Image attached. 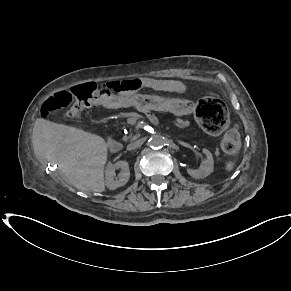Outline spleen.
Masks as SVG:
<instances>
[{"label":"spleen","mask_w":291,"mask_h":291,"mask_svg":"<svg viewBox=\"0 0 291 291\" xmlns=\"http://www.w3.org/2000/svg\"><path fill=\"white\" fill-rule=\"evenodd\" d=\"M234 166H235V162H234V161H228V162L226 163V165H225V170H226L227 172H230V171L233 170Z\"/></svg>","instance_id":"obj_1"}]
</instances>
